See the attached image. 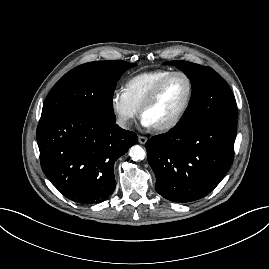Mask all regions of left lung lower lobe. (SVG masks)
Segmentation results:
<instances>
[{
    "label": "left lung lower lobe",
    "instance_id": "1",
    "mask_svg": "<svg viewBox=\"0 0 269 269\" xmlns=\"http://www.w3.org/2000/svg\"><path fill=\"white\" fill-rule=\"evenodd\" d=\"M236 129V117L221 116L149 139L147 158L157 193L178 203L208 195L231 166Z\"/></svg>",
    "mask_w": 269,
    "mask_h": 269
}]
</instances>
